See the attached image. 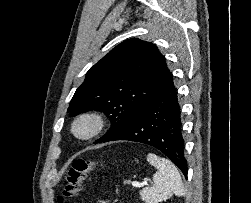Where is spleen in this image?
Returning <instances> with one entry per match:
<instances>
[{
  "label": "spleen",
  "mask_w": 251,
  "mask_h": 203,
  "mask_svg": "<svg viewBox=\"0 0 251 203\" xmlns=\"http://www.w3.org/2000/svg\"><path fill=\"white\" fill-rule=\"evenodd\" d=\"M147 161L157 172L153 176L154 185L141 190V199L146 203H158L169 199L173 194L185 195L181 176L176 166L168 159L149 153Z\"/></svg>",
  "instance_id": "3e777b00"
}]
</instances>
